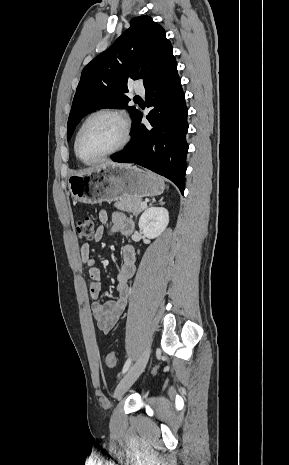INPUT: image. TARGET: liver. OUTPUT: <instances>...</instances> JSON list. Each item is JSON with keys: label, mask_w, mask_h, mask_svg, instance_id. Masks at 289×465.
<instances>
[{"label": "liver", "mask_w": 289, "mask_h": 465, "mask_svg": "<svg viewBox=\"0 0 289 465\" xmlns=\"http://www.w3.org/2000/svg\"><path fill=\"white\" fill-rule=\"evenodd\" d=\"M105 165L127 166L128 164H118V163H114V162H112V161H106L105 163L102 164V166H105Z\"/></svg>", "instance_id": "liver-1"}]
</instances>
